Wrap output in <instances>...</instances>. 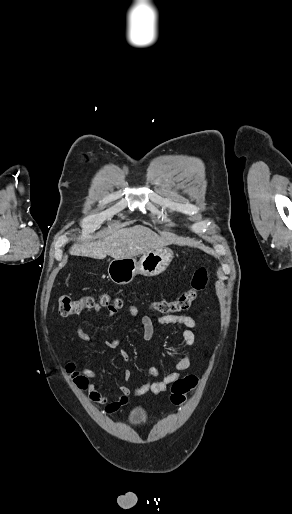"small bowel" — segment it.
<instances>
[{"label":"small bowel","mask_w":292,"mask_h":514,"mask_svg":"<svg viewBox=\"0 0 292 514\" xmlns=\"http://www.w3.org/2000/svg\"><path fill=\"white\" fill-rule=\"evenodd\" d=\"M93 310L100 314L102 311V304L100 302H95L93 304ZM116 309L109 308L108 316L114 315ZM138 314V308L135 305L130 306V315L135 317ZM141 325L144 331V339L151 340L154 337L155 327H168V326H184L185 329L181 332V337L188 348L186 354L175 363V371L168 373L160 380H155L158 377V370L155 367H151L147 370V379L146 382L136 391L132 392L128 386L121 385L119 387V397L105 404L104 409L108 412V415H111L113 412H120L122 410V406L126 404L128 398L131 395L139 396L143 395L148 391H151L155 394L164 393L167 391V386L172 385L175 381L181 378L182 372L186 371L191 365V349L195 345L196 337L192 329L196 326V321L194 317L187 313H178V314H169V315H151L144 314L141 317ZM77 335L83 341H90L92 339V335L86 331H84L81 327L77 328ZM73 343V339H71L69 346L71 347ZM120 338H113L106 341V346L115 350L119 347ZM120 358L122 361L127 362L130 359L129 353L122 349L119 352ZM80 373L88 379H96L98 374L96 371L82 366L80 368ZM123 377L125 380H128L130 377V371L125 370L123 372ZM88 390L90 396L99 401H107L108 397L101 394L96 390L95 385L93 383L88 385Z\"/></svg>","instance_id":"obj_1"}]
</instances>
